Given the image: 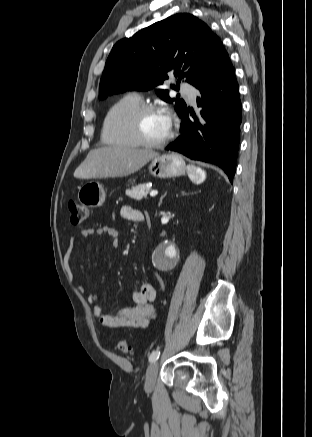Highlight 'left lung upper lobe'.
<instances>
[{
	"instance_id": "5c2ea615",
	"label": "left lung upper lobe",
	"mask_w": 312,
	"mask_h": 437,
	"mask_svg": "<svg viewBox=\"0 0 312 437\" xmlns=\"http://www.w3.org/2000/svg\"><path fill=\"white\" fill-rule=\"evenodd\" d=\"M225 52L220 39L201 20L191 14H175L118 41L106 61L99 99L126 90H149L163 84L173 73L193 86L200 84ZM171 88H175L171 85ZM171 102L168 90H157ZM184 100L176 101L180 116Z\"/></svg>"
}]
</instances>
